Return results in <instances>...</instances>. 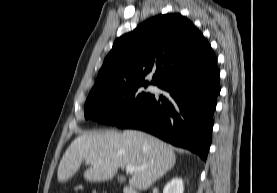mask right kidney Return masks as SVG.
<instances>
[{"mask_svg":"<svg viewBox=\"0 0 277 193\" xmlns=\"http://www.w3.org/2000/svg\"><path fill=\"white\" fill-rule=\"evenodd\" d=\"M184 185L181 178H173L164 187L163 193H183Z\"/></svg>","mask_w":277,"mask_h":193,"instance_id":"obj_1","label":"right kidney"}]
</instances>
